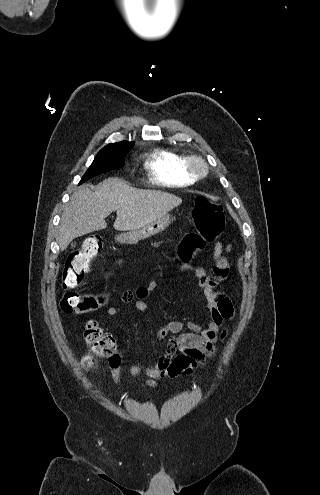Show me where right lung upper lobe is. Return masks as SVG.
Wrapping results in <instances>:
<instances>
[{"label":"right lung upper lobe","instance_id":"cb5924a9","mask_svg":"<svg viewBox=\"0 0 320 495\" xmlns=\"http://www.w3.org/2000/svg\"><path fill=\"white\" fill-rule=\"evenodd\" d=\"M134 142L122 141L118 143H110L102 149H131Z\"/></svg>","mask_w":320,"mask_h":495}]
</instances>
